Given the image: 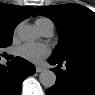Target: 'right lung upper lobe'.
Wrapping results in <instances>:
<instances>
[{
	"mask_svg": "<svg viewBox=\"0 0 95 95\" xmlns=\"http://www.w3.org/2000/svg\"><path fill=\"white\" fill-rule=\"evenodd\" d=\"M33 7L0 3V34H13L15 27L32 14Z\"/></svg>",
	"mask_w": 95,
	"mask_h": 95,
	"instance_id": "1",
	"label": "right lung upper lobe"
}]
</instances>
